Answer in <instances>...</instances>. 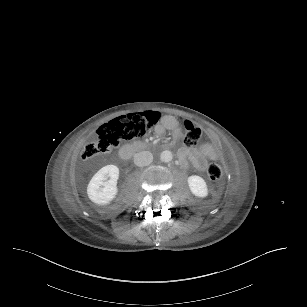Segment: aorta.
<instances>
[{"mask_svg":"<svg viewBox=\"0 0 307 307\" xmlns=\"http://www.w3.org/2000/svg\"><path fill=\"white\" fill-rule=\"evenodd\" d=\"M173 159L172 152L169 150H164L160 154V160L164 163H169Z\"/></svg>","mask_w":307,"mask_h":307,"instance_id":"1","label":"aorta"}]
</instances>
